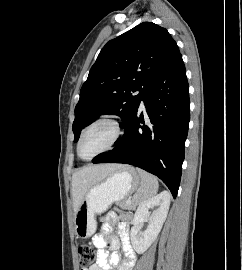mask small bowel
<instances>
[{
    "mask_svg": "<svg viewBox=\"0 0 242 270\" xmlns=\"http://www.w3.org/2000/svg\"><path fill=\"white\" fill-rule=\"evenodd\" d=\"M130 220V215L126 213L110 212L105 216L102 233L92 238V243L98 250L97 263L83 270H116L120 265L123 270H132L136 256L129 240ZM114 224H117L118 235L114 233ZM120 241L129 257V260L124 263H122V255L119 252Z\"/></svg>",
    "mask_w": 242,
    "mask_h": 270,
    "instance_id": "1",
    "label": "small bowel"
}]
</instances>
